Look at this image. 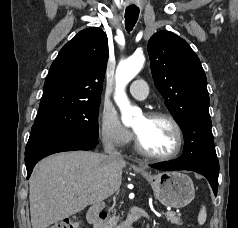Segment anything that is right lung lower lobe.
Listing matches in <instances>:
<instances>
[{
	"instance_id": "98d812e1",
	"label": "right lung lower lobe",
	"mask_w": 238,
	"mask_h": 228,
	"mask_svg": "<svg viewBox=\"0 0 238 228\" xmlns=\"http://www.w3.org/2000/svg\"><path fill=\"white\" fill-rule=\"evenodd\" d=\"M97 144V137L84 133L66 131L31 132L25 149L27 179L30 177L35 164L44 157L63 151L91 150Z\"/></svg>"
}]
</instances>
